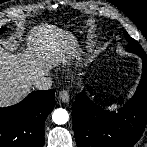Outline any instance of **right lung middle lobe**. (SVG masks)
Here are the masks:
<instances>
[{
    "label": "right lung middle lobe",
    "mask_w": 147,
    "mask_h": 147,
    "mask_svg": "<svg viewBox=\"0 0 147 147\" xmlns=\"http://www.w3.org/2000/svg\"><path fill=\"white\" fill-rule=\"evenodd\" d=\"M3 32V29H0V34Z\"/></svg>",
    "instance_id": "dd1d6c3e"
}]
</instances>
